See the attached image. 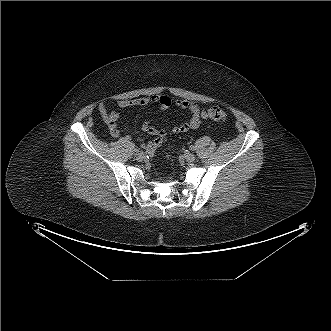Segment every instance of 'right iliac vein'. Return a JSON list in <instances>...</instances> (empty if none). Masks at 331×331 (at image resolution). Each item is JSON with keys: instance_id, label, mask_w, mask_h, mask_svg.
Masks as SVG:
<instances>
[{"instance_id": "obj_1", "label": "right iliac vein", "mask_w": 331, "mask_h": 331, "mask_svg": "<svg viewBox=\"0 0 331 331\" xmlns=\"http://www.w3.org/2000/svg\"><path fill=\"white\" fill-rule=\"evenodd\" d=\"M144 158H145V154H144L143 152H139V153H137V155H136V159H137L138 161H142V160H144Z\"/></svg>"}]
</instances>
